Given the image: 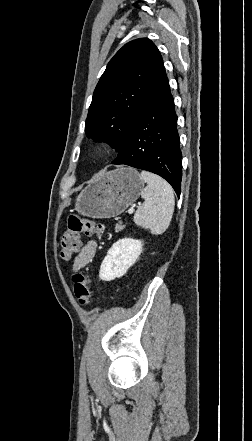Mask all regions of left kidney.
<instances>
[{
	"label": "left kidney",
	"mask_w": 252,
	"mask_h": 441,
	"mask_svg": "<svg viewBox=\"0 0 252 441\" xmlns=\"http://www.w3.org/2000/svg\"><path fill=\"white\" fill-rule=\"evenodd\" d=\"M142 246L141 240L132 238H123L115 242L102 261L100 279L112 281L122 277L142 253Z\"/></svg>",
	"instance_id": "5707ae66"
}]
</instances>
